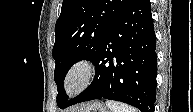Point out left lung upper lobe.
Returning a JSON list of instances; mask_svg holds the SVG:
<instances>
[{"label":"left lung upper lobe","instance_id":"obj_1","mask_svg":"<svg viewBox=\"0 0 193 112\" xmlns=\"http://www.w3.org/2000/svg\"><path fill=\"white\" fill-rule=\"evenodd\" d=\"M133 0H64L55 25L54 80L57 105L68 101L63 80L70 67L83 59L93 61L116 20Z\"/></svg>","mask_w":193,"mask_h":112}]
</instances>
